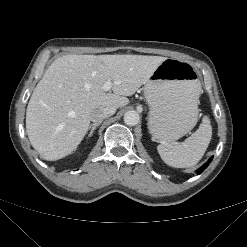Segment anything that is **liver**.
Returning a JSON list of instances; mask_svg holds the SVG:
<instances>
[{
	"instance_id": "obj_1",
	"label": "liver",
	"mask_w": 247,
	"mask_h": 247,
	"mask_svg": "<svg viewBox=\"0 0 247 247\" xmlns=\"http://www.w3.org/2000/svg\"><path fill=\"white\" fill-rule=\"evenodd\" d=\"M167 58L146 55H65L35 87L26 130L40 156L55 161L71 154L90 126L93 110L122 108ZM112 83L105 91V82Z\"/></svg>"
}]
</instances>
